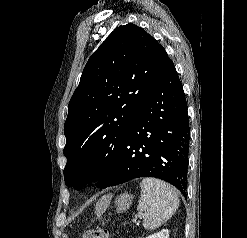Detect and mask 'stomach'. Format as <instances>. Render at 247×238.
<instances>
[{
	"mask_svg": "<svg viewBox=\"0 0 247 238\" xmlns=\"http://www.w3.org/2000/svg\"><path fill=\"white\" fill-rule=\"evenodd\" d=\"M132 204V196L128 193H123L115 200V208L118 213L127 211Z\"/></svg>",
	"mask_w": 247,
	"mask_h": 238,
	"instance_id": "obj_1",
	"label": "stomach"
}]
</instances>
